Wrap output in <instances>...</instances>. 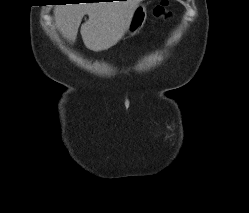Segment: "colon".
Returning <instances> with one entry per match:
<instances>
[{
	"instance_id": "obj_1",
	"label": "colon",
	"mask_w": 249,
	"mask_h": 213,
	"mask_svg": "<svg viewBox=\"0 0 249 213\" xmlns=\"http://www.w3.org/2000/svg\"><path fill=\"white\" fill-rule=\"evenodd\" d=\"M171 12L168 7V2L163 0L160 4L155 6L153 9V15L157 19L167 18L170 16Z\"/></svg>"
}]
</instances>
